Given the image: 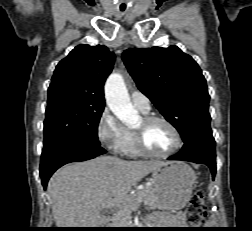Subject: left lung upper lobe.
Here are the masks:
<instances>
[{
  "mask_svg": "<svg viewBox=\"0 0 252 231\" xmlns=\"http://www.w3.org/2000/svg\"><path fill=\"white\" fill-rule=\"evenodd\" d=\"M122 59L139 90L180 133L183 141L212 134L209 94L195 60L177 46L126 50Z\"/></svg>",
  "mask_w": 252,
  "mask_h": 231,
  "instance_id": "5c2ea615",
  "label": "left lung upper lobe"
}]
</instances>
